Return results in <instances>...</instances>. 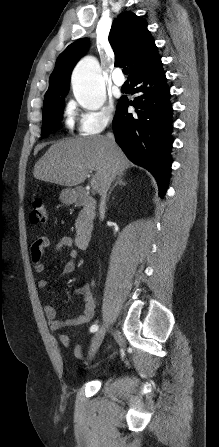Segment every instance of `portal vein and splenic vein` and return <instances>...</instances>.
<instances>
[{
  "label": "portal vein and splenic vein",
  "mask_w": 219,
  "mask_h": 447,
  "mask_svg": "<svg viewBox=\"0 0 219 447\" xmlns=\"http://www.w3.org/2000/svg\"><path fill=\"white\" fill-rule=\"evenodd\" d=\"M91 187L93 190H96L98 188L97 182L95 179H92L91 181Z\"/></svg>",
  "instance_id": "1"
}]
</instances>
